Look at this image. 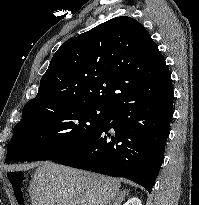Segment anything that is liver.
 Segmentation results:
<instances>
[{
	"instance_id": "1",
	"label": "liver",
	"mask_w": 199,
	"mask_h": 205,
	"mask_svg": "<svg viewBox=\"0 0 199 205\" xmlns=\"http://www.w3.org/2000/svg\"><path fill=\"white\" fill-rule=\"evenodd\" d=\"M120 180L50 161L39 163L30 182L32 205H120Z\"/></svg>"
}]
</instances>
